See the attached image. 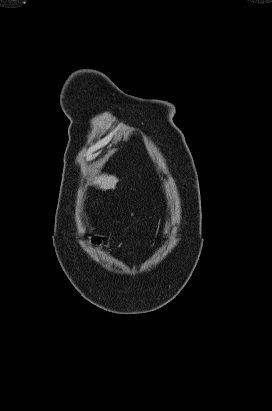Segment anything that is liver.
<instances>
[{
  "label": "liver",
  "mask_w": 272,
  "mask_h": 411,
  "mask_svg": "<svg viewBox=\"0 0 272 411\" xmlns=\"http://www.w3.org/2000/svg\"><path fill=\"white\" fill-rule=\"evenodd\" d=\"M118 179L115 176L103 174L93 179L92 184L97 185L102 190L115 189Z\"/></svg>",
  "instance_id": "6515ba94"
}]
</instances>
